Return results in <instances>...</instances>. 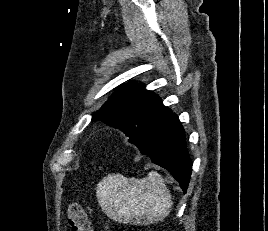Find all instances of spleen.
I'll return each mask as SVG.
<instances>
[{"label":"spleen","instance_id":"obj_1","mask_svg":"<svg viewBox=\"0 0 268 231\" xmlns=\"http://www.w3.org/2000/svg\"><path fill=\"white\" fill-rule=\"evenodd\" d=\"M96 195L105 214L125 224L148 225L163 220L173 205L170 191L156 171L142 179L109 174L97 184Z\"/></svg>","mask_w":268,"mask_h":231}]
</instances>
